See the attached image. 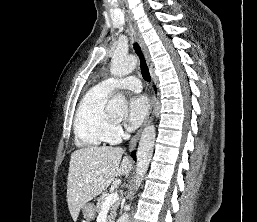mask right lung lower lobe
<instances>
[{"instance_id":"obj_1","label":"right lung lower lobe","mask_w":257,"mask_h":222,"mask_svg":"<svg viewBox=\"0 0 257 222\" xmlns=\"http://www.w3.org/2000/svg\"><path fill=\"white\" fill-rule=\"evenodd\" d=\"M131 156L133 157L134 160L136 159L135 152H132Z\"/></svg>"}]
</instances>
